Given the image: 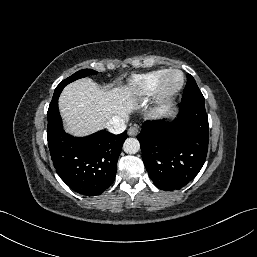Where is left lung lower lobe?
I'll list each match as a JSON object with an SVG mask.
<instances>
[{
    "instance_id": "obj_1",
    "label": "left lung lower lobe",
    "mask_w": 257,
    "mask_h": 257,
    "mask_svg": "<svg viewBox=\"0 0 257 257\" xmlns=\"http://www.w3.org/2000/svg\"><path fill=\"white\" fill-rule=\"evenodd\" d=\"M177 118L146 121L137 135L149 177L162 190L181 189L201 170L208 151L205 103L181 102Z\"/></svg>"
}]
</instances>
